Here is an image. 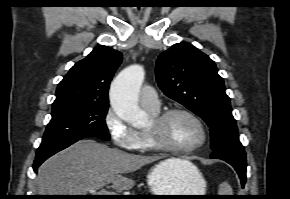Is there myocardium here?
Returning <instances> with one entry per match:
<instances>
[{"instance_id": "obj_1", "label": "myocardium", "mask_w": 290, "mask_h": 199, "mask_svg": "<svg viewBox=\"0 0 290 199\" xmlns=\"http://www.w3.org/2000/svg\"><path fill=\"white\" fill-rule=\"evenodd\" d=\"M174 114H183L191 118L193 121L196 122V124L199 126V129L201 131V139L200 141L187 148H179L175 146H171L164 142L162 139V133L163 128L167 120ZM153 127L151 129H147V134L149 136V139L151 141V144L153 148L157 151L166 152L170 154H176V155H187L191 154L200 148H202L208 139V132L206 129L205 124L201 120V118L192 112L189 109L183 108V107H173L166 109L164 111L158 112L157 114L153 115Z\"/></svg>"}]
</instances>
